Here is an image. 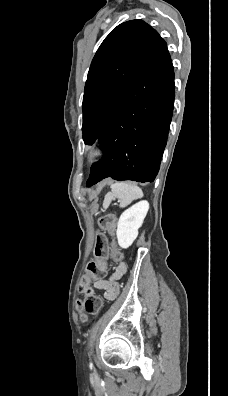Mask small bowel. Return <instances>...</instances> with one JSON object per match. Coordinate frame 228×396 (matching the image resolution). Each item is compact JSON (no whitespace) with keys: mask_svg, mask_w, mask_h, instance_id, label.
Masks as SVG:
<instances>
[{"mask_svg":"<svg viewBox=\"0 0 228 396\" xmlns=\"http://www.w3.org/2000/svg\"><path fill=\"white\" fill-rule=\"evenodd\" d=\"M126 272V265L121 264L117 267L116 272L109 279H97L94 282V286L97 289H101L104 291V297L107 300H114L119 292L120 287L117 280Z\"/></svg>","mask_w":228,"mask_h":396,"instance_id":"obj_1","label":"small bowel"}]
</instances>
